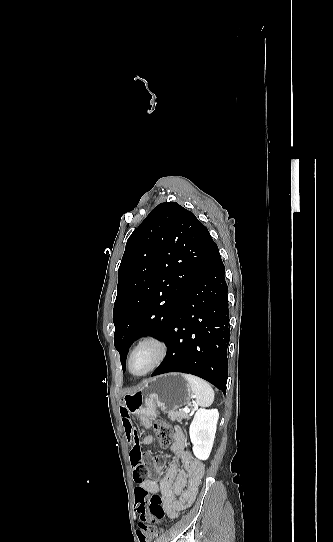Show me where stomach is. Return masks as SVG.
Returning a JSON list of instances; mask_svg holds the SVG:
<instances>
[{
  "label": "stomach",
  "instance_id": "0dacf381",
  "mask_svg": "<svg viewBox=\"0 0 333 542\" xmlns=\"http://www.w3.org/2000/svg\"><path fill=\"white\" fill-rule=\"evenodd\" d=\"M191 398L190 386L182 374H162L148 380L137 392L125 394L123 402L133 416L155 420L157 408H161L162 412L178 410L186 406Z\"/></svg>",
  "mask_w": 333,
  "mask_h": 542
}]
</instances>
